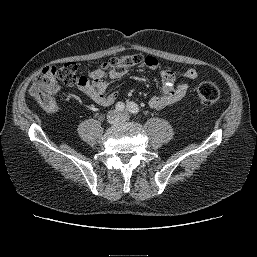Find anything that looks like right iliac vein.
<instances>
[{
    "label": "right iliac vein",
    "instance_id": "63e3f726",
    "mask_svg": "<svg viewBox=\"0 0 257 257\" xmlns=\"http://www.w3.org/2000/svg\"><path fill=\"white\" fill-rule=\"evenodd\" d=\"M108 122L109 123H114V116L113 115H111V117L109 118Z\"/></svg>",
    "mask_w": 257,
    "mask_h": 257
}]
</instances>
